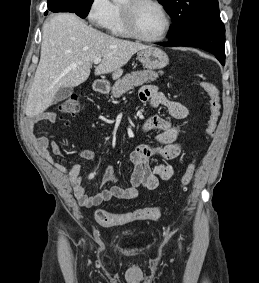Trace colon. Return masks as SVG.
<instances>
[{
	"instance_id": "1",
	"label": "colon",
	"mask_w": 259,
	"mask_h": 283,
	"mask_svg": "<svg viewBox=\"0 0 259 283\" xmlns=\"http://www.w3.org/2000/svg\"><path fill=\"white\" fill-rule=\"evenodd\" d=\"M201 88L209 96V117L207 120L205 135L207 141L213 136L218 119L220 116V92L219 89L212 83L207 81L199 82ZM80 105L77 95H70L65 98L60 105V112L64 115L74 116L79 112ZM196 167V159H193L185 168L179 184V195L182 196L187 189V186L194 174ZM160 215V210L157 207H146L136 209L125 213H110L105 210H99L96 213L98 222L104 226H117L134 221L155 219Z\"/></svg>"
}]
</instances>
